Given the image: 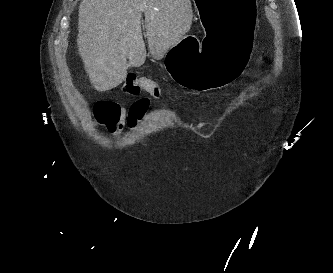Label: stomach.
I'll return each instance as SVG.
<instances>
[{
  "mask_svg": "<svg viewBox=\"0 0 333 273\" xmlns=\"http://www.w3.org/2000/svg\"><path fill=\"white\" fill-rule=\"evenodd\" d=\"M199 23L197 38L182 37L167 53L166 67L182 87L207 91L243 75L253 51V28L258 23L256 0H194ZM192 37V38H191Z\"/></svg>",
  "mask_w": 333,
  "mask_h": 273,
  "instance_id": "0dacf381",
  "label": "stomach"
}]
</instances>
